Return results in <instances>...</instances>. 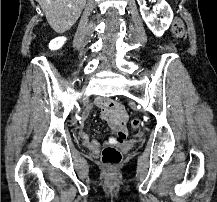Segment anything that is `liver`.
Returning a JSON list of instances; mask_svg holds the SVG:
<instances>
[{
  "label": "liver",
  "instance_id": "1",
  "mask_svg": "<svg viewBox=\"0 0 217 202\" xmlns=\"http://www.w3.org/2000/svg\"><path fill=\"white\" fill-rule=\"evenodd\" d=\"M54 32L63 34L77 22L86 0H36Z\"/></svg>",
  "mask_w": 217,
  "mask_h": 202
}]
</instances>
